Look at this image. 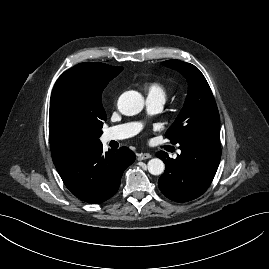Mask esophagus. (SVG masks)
Instances as JSON below:
<instances>
[{"instance_id":"34e87169","label":"esophagus","mask_w":269,"mask_h":269,"mask_svg":"<svg viewBox=\"0 0 269 269\" xmlns=\"http://www.w3.org/2000/svg\"><path fill=\"white\" fill-rule=\"evenodd\" d=\"M151 154L150 153H140L137 155L138 160H146L151 158Z\"/></svg>"}]
</instances>
